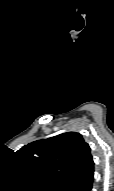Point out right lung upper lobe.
<instances>
[{
	"label": "right lung upper lobe",
	"instance_id": "right-lung-upper-lobe-1",
	"mask_svg": "<svg viewBox=\"0 0 114 191\" xmlns=\"http://www.w3.org/2000/svg\"><path fill=\"white\" fill-rule=\"evenodd\" d=\"M17 156L42 188H57L94 172L91 149L76 132L31 142Z\"/></svg>",
	"mask_w": 114,
	"mask_h": 191
}]
</instances>
